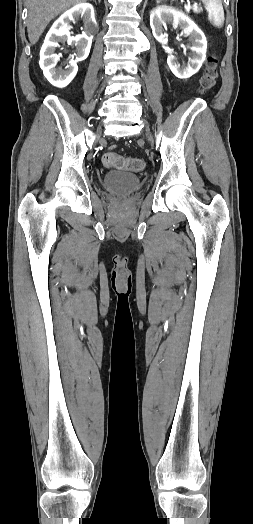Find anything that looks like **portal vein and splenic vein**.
<instances>
[{
    "instance_id": "obj_1",
    "label": "portal vein and splenic vein",
    "mask_w": 253,
    "mask_h": 524,
    "mask_svg": "<svg viewBox=\"0 0 253 524\" xmlns=\"http://www.w3.org/2000/svg\"><path fill=\"white\" fill-rule=\"evenodd\" d=\"M185 9H186L187 11H190L191 6H190V3H189V2H188V3H185ZM192 9H193L194 12H198V11H200L202 8H201V7H198V6H194Z\"/></svg>"
}]
</instances>
